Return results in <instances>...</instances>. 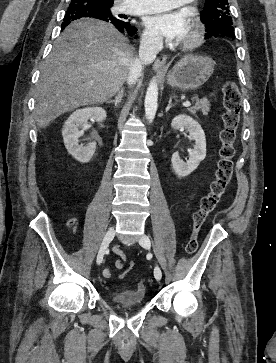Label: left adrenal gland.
I'll return each mask as SVG.
<instances>
[{"instance_id":"1","label":"left adrenal gland","mask_w":276,"mask_h":363,"mask_svg":"<svg viewBox=\"0 0 276 363\" xmlns=\"http://www.w3.org/2000/svg\"><path fill=\"white\" fill-rule=\"evenodd\" d=\"M175 106V104H172V98L170 97V99H169V103H168V106L166 107V113L172 108V107H174Z\"/></svg>"}]
</instances>
